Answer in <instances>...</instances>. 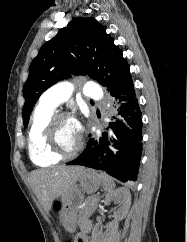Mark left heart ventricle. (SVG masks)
<instances>
[{
	"label": "left heart ventricle",
	"instance_id": "left-heart-ventricle-1",
	"mask_svg": "<svg viewBox=\"0 0 187 242\" xmlns=\"http://www.w3.org/2000/svg\"><path fill=\"white\" fill-rule=\"evenodd\" d=\"M79 139V133L73 121L63 120L58 123L55 130V145L63 151L69 152L73 150Z\"/></svg>",
	"mask_w": 187,
	"mask_h": 242
}]
</instances>
